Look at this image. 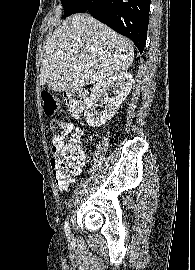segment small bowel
Instances as JSON below:
<instances>
[{"mask_svg":"<svg viewBox=\"0 0 195 270\" xmlns=\"http://www.w3.org/2000/svg\"><path fill=\"white\" fill-rule=\"evenodd\" d=\"M71 132H74L78 137H82L84 135V132L81 129L76 128L73 123L69 122L67 123L66 135ZM63 140L64 138L54 137L52 140L53 150L56 147L61 146L63 143Z\"/></svg>","mask_w":195,"mask_h":270,"instance_id":"1","label":"small bowel"}]
</instances>
